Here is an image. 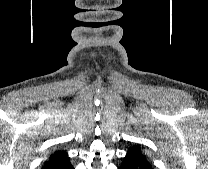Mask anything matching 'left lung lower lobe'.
<instances>
[{
	"mask_svg": "<svg viewBox=\"0 0 208 169\" xmlns=\"http://www.w3.org/2000/svg\"><path fill=\"white\" fill-rule=\"evenodd\" d=\"M118 169H153V167L141 151L129 148Z\"/></svg>",
	"mask_w": 208,
	"mask_h": 169,
	"instance_id": "1",
	"label": "left lung lower lobe"
}]
</instances>
